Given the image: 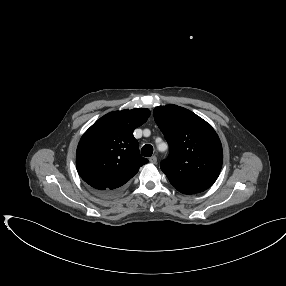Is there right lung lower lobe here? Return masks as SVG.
<instances>
[{"label":"right lung lower lobe","mask_w":286,"mask_h":286,"mask_svg":"<svg viewBox=\"0 0 286 286\" xmlns=\"http://www.w3.org/2000/svg\"><path fill=\"white\" fill-rule=\"evenodd\" d=\"M91 192L99 197H103V198H106V197H109V196H112L116 193H118L119 191L117 192H108V191H100V190H96V189H93V188H90Z\"/></svg>","instance_id":"1"}]
</instances>
